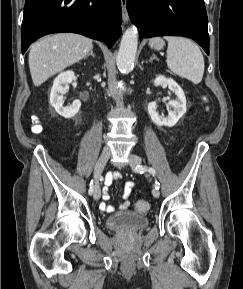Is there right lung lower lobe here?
Returning <instances> with one entry per match:
<instances>
[{
    "instance_id": "98d812e1",
    "label": "right lung lower lobe",
    "mask_w": 243,
    "mask_h": 289,
    "mask_svg": "<svg viewBox=\"0 0 243 289\" xmlns=\"http://www.w3.org/2000/svg\"><path fill=\"white\" fill-rule=\"evenodd\" d=\"M120 0H26L22 53L41 36L71 32L105 42L110 48L120 34Z\"/></svg>"
}]
</instances>
